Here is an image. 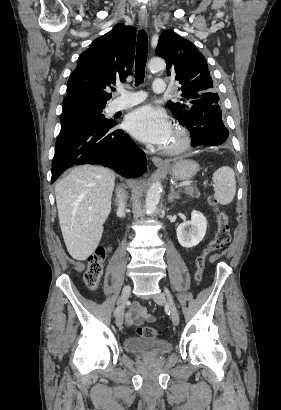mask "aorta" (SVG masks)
Segmentation results:
<instances>
[{
	"label": "aorta",
	"mask_w": 281,
	"mask_h": 410,
	"mask_svg": "<svg viewBox=\"0 0 281 410\" xmlns=\"http://www.w3.org/2000/svg\"><path fill=\"white\" fill-rule=\"evenodd\" d=\"M148 67L151 71H162L165 69V61L159 58L151 59ZM162 186L159 181L154 182L148 189L146 195V212L148 215H152L159 204L161 198Z\"/></svg>",
	"instance_id": "1"
}]
</instances>
